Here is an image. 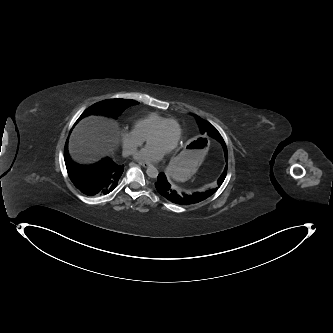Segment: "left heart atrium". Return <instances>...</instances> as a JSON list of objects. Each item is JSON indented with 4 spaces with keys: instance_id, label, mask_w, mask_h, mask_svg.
<instances>
[{
    "instance_id": "1",
    "label": "left heart atrium",
    "mask_w": 333,
    "mask_h": 333,
    "mask_svg": "<svg viewBox=\"0 0 333 333\" xmlns=\"http://www.w3.org/2000/svg\"><path fill=\"white\" fill-rule=\"evenodd\" d=\"M166 152V149H162L153 143H149L136 155V159L155 162L160 160Z\"/></svg>"
}]
</instances>
